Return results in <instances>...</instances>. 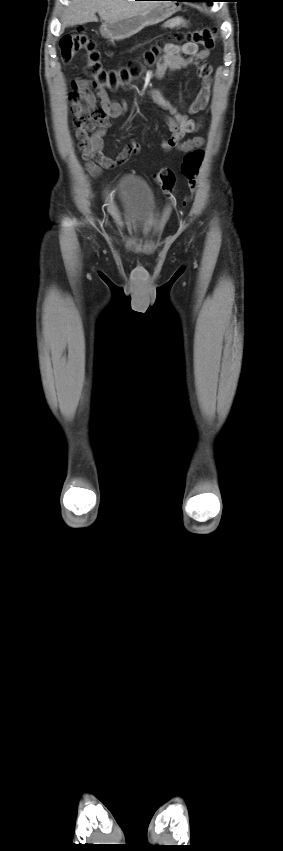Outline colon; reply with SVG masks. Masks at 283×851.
Wrapping results in <instances>:
<instances>
[{
    "mask_svg": "<svg viewBox=\"0 0 283 851\" xmlns=\"http://www.w3.org/2000/svg\"><path fill=\"white\" fill-rule=\"evenodd\" d=\"M172 40L187 41L205 48H212L216 43V29L202 28L188 32H177L171 36ZM167 44L164 40H159L158 43L145 53L144 59L148 65H153L158 55ZM61 57L64 62H70L75 55L83 51L85 53V68L84 72L91 79L95 86L107 87L112 90H117L126 87L133 78L140 76L141 67L137 64L130 66L127 69L119 71H109L103 68L101 63V55L96 47L95 42L90 39L83 31L65 35L59 44ZM203 159L201 150L188 152L182 162L181 171L187 178L191 191L195 189L196 179ZM156 182L161 186L166 195H171L174 184L175 174L170 169H161L155 175ZM187 201V199L185 200Z\"/></svg>",
    "mask_w": 283,
    "mask_h": 851,
    "instance_id": "obj_1",
    "label": "colon"
}]
</instances>
